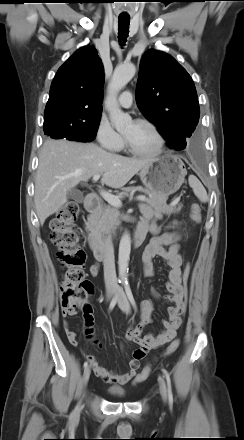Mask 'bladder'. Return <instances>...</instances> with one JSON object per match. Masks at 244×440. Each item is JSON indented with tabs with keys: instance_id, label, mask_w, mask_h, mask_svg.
I'll return each mask as SVG.
<instances>
[{
	"instance_id": "31cf9c89",
	"label": "bladder",
	"mask_w": 244,
	"mask_h": 440,
	"mask_svg": "<svg viewBox=\"0 0 244 440\" xmlns=\"http://www.w3.org/2000/svg\"><path fill=\"white\" fill-rule=\"evenodd\" d=\"M107 393L113 398H124L126 396L123 390L109 389Z\"/></svg>"
}]
</instances>
